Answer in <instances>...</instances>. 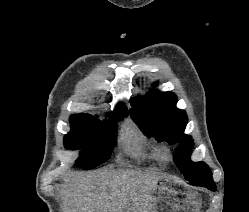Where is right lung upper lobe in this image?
<instances>
[{
	"label": "right lung upper lobe",
	"instance_id": "1",
	"mask_svg": "<svg viewBox=\"0 0 249 212\" xmlns=\"http://www.w3.org/2000/svg\"><path fill=\"white\" fill-rule=\"evenodd\" d=\"M116 110H122L128 113L127 108L123 104H119V106L116 108Z\"/></svg>",
	"mask_w": 249,
	"mask_h": 212
}]
</instances>
